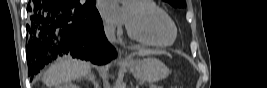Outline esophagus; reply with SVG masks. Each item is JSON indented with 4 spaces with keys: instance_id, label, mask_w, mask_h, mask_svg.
Instances as JSON below:
<instances>
[{
    "instance_id": "obj_1",
    "label": "esophagus",
    "mask_w": 267,
    "mask_h": 88,
    "mask_svg": "<svg viewBox=\"0 0 267 88\" xmlns=\"http://www.w3.org/2000/svg\"><path fill=\"white\" fill-rule=\"evenodd\" d=\"M125 62H131L132 61V59L131 58H129V57H125Z\"/></svg>"
}]
</instances>
